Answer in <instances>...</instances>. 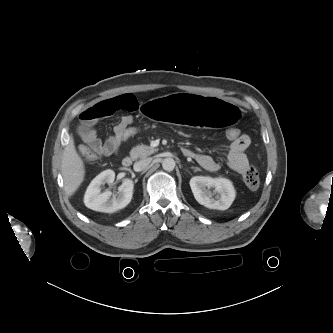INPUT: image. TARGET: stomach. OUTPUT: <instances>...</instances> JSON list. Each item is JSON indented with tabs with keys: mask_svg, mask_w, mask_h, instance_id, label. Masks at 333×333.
I'll return each mask as SVG.
<instances>
[{
	"mask_svg": "<svg viewBox=\"0 0 333 333\" xmlns=\"http://www.w3.org/2000/svg\"><path fill=\"white\" fill-rule=\"evenodd\" d=\"M143 117L162 125L195 127L221 131L241 125L246 117L238 104L212 95L171 93L146 99L141 107Z\"/></svg>",
	"mask_w": 333,
	"mask_h": 333,
	"instance_id": "0dacf381",
	"label": "stomach"
}]
</instances>
